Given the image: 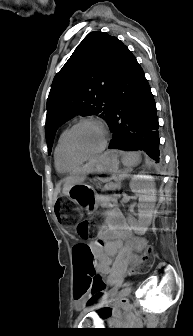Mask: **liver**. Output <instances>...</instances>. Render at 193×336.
<instances>
[{
    "label": "liver",
    "mask_w": 193,
    "mask_h": 336,
    "mask_svg": "<svg viewBox=\"0 0 193 336\" xmlns=\"http://www.w3.org/2000/svg\"><path fill=\"white\" fill-rule=\"evenodd\" d=\"M98 158L92 159L87 164L77 168L70 176L64 179L62 191L65 195H68L74 185L80 184L86 179L87 174L91 172V168L98 161Z\"/></svg>",
    "instance_id": "liver-1"
}]
</instances>
